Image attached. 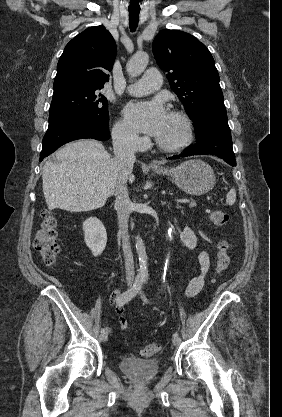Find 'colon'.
<instances>
[{
  "instance_id": "1",
  "label": "colon",
  "mask_w": 282,
  "mask_h": 417,
  "mask_svg": "<svg viewBox=\"0 0 282 417\" xmlns=\"http://www.w3.org/2000/svg\"><path fill=\"white\" fill-rule=\"evenodd\" d=\"M42 223L35 239V248L44 265L55 267L59 256V246L57 244L58 222L52 211L45 209L41 213ZM208 221L217 227L225 226L229 222V217L224 210L210 209L207 211ZM231 258L228 253L227 244L219 242L217 253L214 259V271L221 273L230 266ZM162 348L161 343H149L142 349V356L151 358Z\"/></svg>"
}]
</instances>
